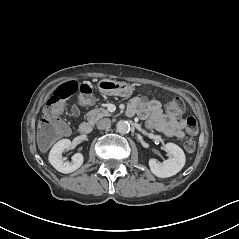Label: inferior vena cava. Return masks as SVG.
I'll return each instance as SVG.
<instances>
[{
	"label": "inferior vena cava",
	"mask_w": 239,
	"mask_h": 239,
	"mask_svg": "<svg viewBox=\"0 0 239 239\" xmlns=\"http://www.w3.org/2000/svg\"><path fill=\"white\" fill-rule=\"evenodd\" d=\"M110 126H111V120L109 118H104L97 122V128L99 130H104L106 128H109Z\"/></svg>",
	"instance_id": "602c4592"
}]
</instances>
